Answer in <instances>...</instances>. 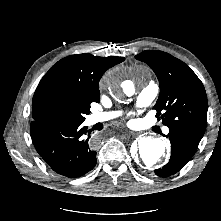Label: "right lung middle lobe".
<instances>
[{
    "label": "right lung middle lobe",
    "mask_w": 221,
    "mask_h": 221,
    "mask_svg": "<svg viewBox=\"0 0 221 221\" xmlns=\"http://www.w3.org/2000/svg\"><path fill=\"white\" fill-rule=\"evenodd\" d=\"M100 98L76 93L61 87H49L36 102L35 114L40 121L75 120L83 122L90 113V104Z\"/></svg>",
    "instance_id": "obj_1"
}]
</instances>
